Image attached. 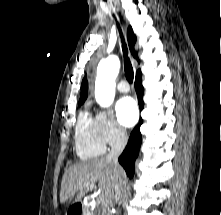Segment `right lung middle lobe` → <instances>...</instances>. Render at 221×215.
<instances>
[{"mask_svg": "<svg viewBox=\"0 0 221 215\" xmlns=\"http://www.w3.org/2000/svg\"><path fill=\"white\" fill-rule=\"evenodd\" d=\"M84 102H79V105L83 104Z\"/></svg>", "mask_w": 221, "mask_h": 215, "instance_id": "1", "label": "right lung middle lobe"}]
</instances>
